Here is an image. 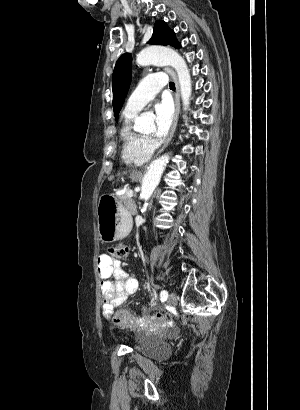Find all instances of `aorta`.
<instances>
[{
	"label": "aorta",
	"instance_id": "762f6f07",
	"mask_svg": "<svg viewBox=\"0 0 300 410\" xmlns=\"http://www.w3.org/2000/svg\"><path fill=\"white\" fill-rule=\"evenodd\" d=\"M136 62L138 65L142 66L157 64L173 67L178 76L184 109L186 110L188 108L192 93L191 76L184 58L179 53L170 48L148 47L143 49L137 55ZM153 126V120L150 117L141 115L135 120L134 128L137 131L145 132L150 130ZM168 162L169 154H164L148 166L142 180L140 193L141 199L145 202L151 198L154 190L158 186Z\"/></svg>",
	"mask_w": 300,
	"mask_h": 410
}]
</instances>
